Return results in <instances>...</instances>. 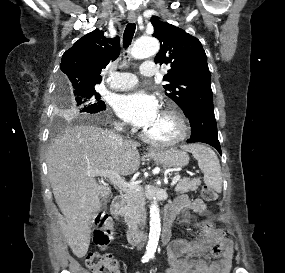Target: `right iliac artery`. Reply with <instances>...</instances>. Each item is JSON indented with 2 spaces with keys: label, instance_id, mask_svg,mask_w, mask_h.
<instances>
[{
  "label": "right iliac artery",
  "instance_id": "right-iliac-artery-1",
  "mask_svg": "<svg viewBox=\"0 0 285 273\" xmlns=\"http://www.w3.org/2000/svg\"><path fill=\"white\" fill-rule=\"evenodd\" d=\"M149 258H150V256L144 255V256L142 257V262H143V263H144V262H148Z\"/></svg>",
  "mask_w": 285,
  "mask_h": 273
}]
</instances>
